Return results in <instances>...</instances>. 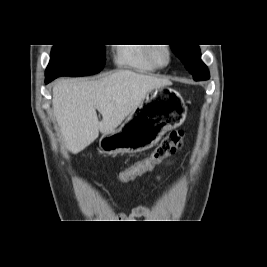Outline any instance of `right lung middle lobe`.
I'll list each match as a JSON object with an SVG mask.
<instances>
[{
	"label": "right lung middle lobe",
	"mask_w": 267,
	"mask_h": 267,
	"mask_svg": "<svg viewBox=\"0 0 267 267\" xmlns=\"http://www.w3.org/2000/svg\"><path fill=\"white\" fill-rule=\"evenodd\" d=\"M104 45H54L45 72L49 76H87L105 65Z\"/></svg>",
	"instance_id": "obj_1"
}]
</instances>
